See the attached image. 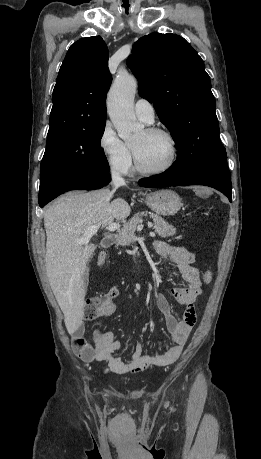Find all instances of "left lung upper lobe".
Here are the masks:
<instances>
[{
    "mask_svg": "<svg viewBox=\"0 0 261 459\" xmlns=\"http://www.w3.org/2000/svg\"><path fill=\"white\" fill-rule=\"evenodd\" d=\"M128 66L138 78L140 95L154 104L179 149L173 169L184 174L227 158L209 75L184 38L149 34L135 43Z\"/></svg>",
    "mask_w": 261,
    "mask_h": 459,
    "instance_id": "5c2ea615",
    "label": "left lung upper lobe"
}]
</instances>
